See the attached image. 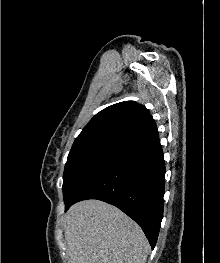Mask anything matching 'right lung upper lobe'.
<instances>
[{
	"label": "right lung upper lobe",
	"mask_w": 220,
	"mask_h": 263,
	"mask_svg": "<svg viewBox=\"0 0 220 263\" xmlns=\"http://www.w3.org/2000/svg\"><path fill=\"white\" fill-rule=\"evenodd\" d=\"M158 134L148 109L134 101L120 102L97 113L76 138L71 151L122 149Z\"/></svg>",
	"instance_id": "right-lung-upper-lobe-1"
}]
</instances>
